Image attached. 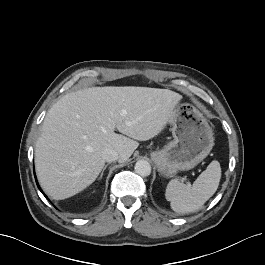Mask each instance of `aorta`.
Wrapping results in <instances>:
<instances>
[{
    "instance_id": "aorta-1",
    "label": "aorta",
    "mask_w": 265,
    "mask_h": 265,
    "mask_svg": "<svg viewBox=\"0 0 265 265\" xmlns=\"http://www.w3.org/2000/svg\"><path fill=\"white\" fill-rule=\"evenodd\" d=\"M135 172L143 177L149 176L151 173V165L146 160H139L135 164Z\"/></svg>"
}]
</instances>
